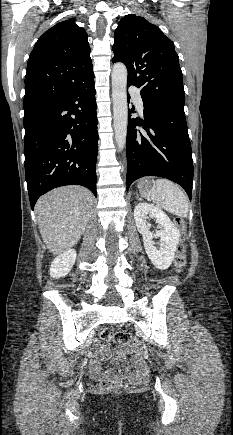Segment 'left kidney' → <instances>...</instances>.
<instances>
[{"mask_svg": "<svg viewBox=\"0 0 233 435\" xmlns=\"http://www.w3.org/2000/svg\"><path fill=\"white\" fill-rule=\"evenodd\" d=\"M148 218H155L163 230L151 232L147 223ZM134 219L138 231L143 236L145 251L149 259L158 269H167L172 264L179 243V230L165 212L144 202L135 206ZM154 237L160 238L158 248L154 246Z\"/></svg>", "mask_w": 233, "mask_h": 435, "instance_id": "left-kidney-1", "label": "left kidney"}]
</instances>
